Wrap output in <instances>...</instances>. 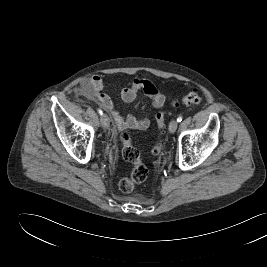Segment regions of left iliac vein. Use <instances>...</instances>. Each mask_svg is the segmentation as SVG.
Returning <instances> with one entry per match:
<instances>
[{"label": "left iliac vein", "mask_w": 267, "mask_h": 267, "mask_svg": "<svg viewBox=\"0 0 267 267\" xmlns=\"http://www.w3.org/2000/svg\"><path fill=\"white\" fill-rule=\"evenodd\" d=\"M177 127H178L177 120H172L170 122V124H169V131H170V133H174L176 131Z\"/></svg>", "instance_id": "1"}]
</instances>
